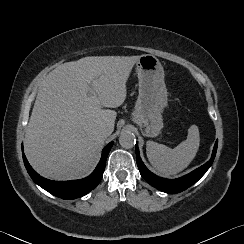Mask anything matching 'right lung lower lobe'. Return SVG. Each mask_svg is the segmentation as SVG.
Wrapping results in <instances>:
<instances>
[{
  "label": "right lung lower lobe",
  "instance_id": "obj_1",
  "mask_svg": "<svg viewBox=\"0 0 244 244\" xmlns=\"http://www.w3.org/2000/svg\"><path fill=\"white\" fill-rule=\"evenodd\" d=\"M112 146H113V142H110L103 149L102 157L95 170L88 177L80 180L52 181L43 178L36 171L32 169L24 154H23V161L30 177L40 187H42L49 193L59 198L75 199L86 195L99 184V182L103 177V172L105 170V165H106V159Z\"/></svg>",
  "mask_w": 244,
  "mask_h": 244
}]
</instances>
